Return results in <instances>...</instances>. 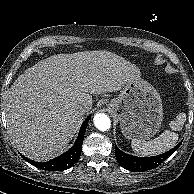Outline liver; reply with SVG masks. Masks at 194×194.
I'll return each instance as SVG.
<instances>
[{
	"mask_svg": "<svg viewBox=\"0 0 194 194\" xmlns=\"http://www.w3.org/2000/svg\"><path fill=\"white\" fill-rule=\"evenodd\" d=\"M139 77L138 67L109 51L59 54L38 62L7 94L6 122L14 145L35 161L52 159L66 149L92 108V94L116 92Z\"/></svg>",
	"mask_w": 194,
	"mask_h": 194,
	"instance_id": "liver-1",
	"label": "liver"
}]
</instances>
